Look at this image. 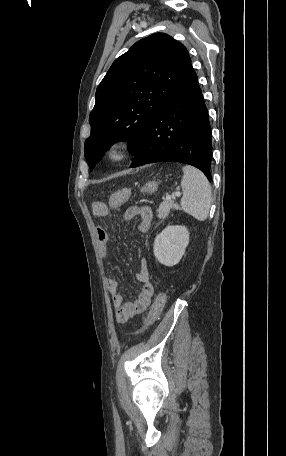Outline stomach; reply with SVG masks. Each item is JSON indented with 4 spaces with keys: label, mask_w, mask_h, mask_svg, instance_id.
<instances>
[{
    "label": "stomach",
    "mask_w": 286,
    "mask_h": 456,
    "mask_svg": "<svg viewBox=\"0 0 286 456\" xmlns=\"http://www.w3.org/2000/svg\"><path fill=\"white\" fill-rule=\"evenodd\" d=\"M157 188H158V183L155 181H150L141 188V192L152 194L157 190Z\"/></svg>",
    "instance_id": "stomach-1"
}]
</instances>
